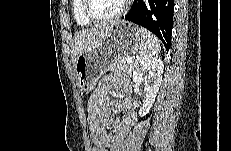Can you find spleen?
<instances>
[{"label": "spleen", "mask_w": 231, "mask_h": 151, "mask_svg": "<svg viewBox=\"0 0 231 151\" xmlns=\"http://www.w3.org/2000/svg\"><path fill=\"white\" fill-rule=\"evenodd\" d=\"M139 32L142 37V44L139 49V54L141 56H154L157 55L160 50V42L156 36L145 28L140 27Z\"/></svg>", "instance_id": "spleen-1"}]
</instances>
